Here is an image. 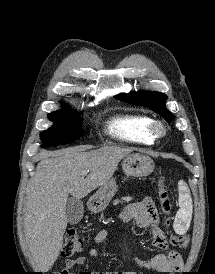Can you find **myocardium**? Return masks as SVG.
Here are the masks:
<instances>
[{"label":"myocardium","mask_w":215,"mask_h":274,"mask_svg":"<svg viewBox=\"0 0 215 274\" xmlns=\"http://www.w3.org/2000/svg\"><path fill=\"white\" fill-rule=\"evenodd\" d=\"M150 132L155 139L161 138L166 135L167 127L164 122L160 120H154L150 125Z\"/></svg>","instance_id":"f54148a6"}]
</instances>
